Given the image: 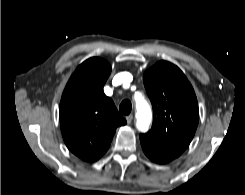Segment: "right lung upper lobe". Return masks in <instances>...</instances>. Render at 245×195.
I'll use <instances>...</instances> for the list:
<instances>
[{"label":"right lung upper lobe","instance_id":"obj_1","mask_svg":"<svg viewBox=\"0 0 245 195\" xmlns=\"http://www.w3.org/2000/svg\"><path fill=\"white\" fill-rule=\"evenodd\" d=\"M111 66L93 57L80 64L69 79L60 102V126L68 149L87 162L108 150L118 126L126 120L103 92Z\"/></svg>","mask_w":245,"mask_h":195}]
</instances>
